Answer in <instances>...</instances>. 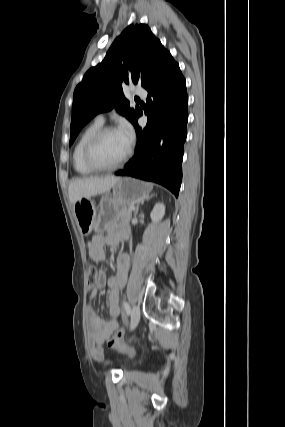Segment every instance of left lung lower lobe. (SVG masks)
Segmentation results:
<instances>
[{
  "mask_svg": "<svg viewBox=\"0 0 285 427\" xmlns=\"http://www.w3.org/2000/svg\"><path fill=\"white\" fill-rule=\"evenodd\" d=\"M145 89L149 92L147 125L145 128L138 125L141 111L133 123L137 132L135 156L115 174L159 183L177 197L187 136L188 97L185 79L170 53Z\"/></svg>",
  "mask_w": 285,
  "mask_h": 427,
  "instance_id": "left-lung-lower-lobe-1",
  "label": "left lung lower lobe"
}]
</instances>
